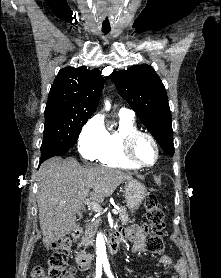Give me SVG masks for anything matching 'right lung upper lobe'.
<instances>
[{"label": "right lung upper lobe", "instance_id": "right-lung-upper-lobe-1", "mask_svg": "<svg viewBox=\"0 0 221 278\" xmlns=\"http://www.w3.org/2000/svg\"><path fill=\"white\" fill-rule=\"evenodd\" d=\"M104 82L98 69L65 67L50 89L45 114L90 117L96 110Z\"/></svg>", "mask_w": 221, "mask_h": 278}]
</instances>
